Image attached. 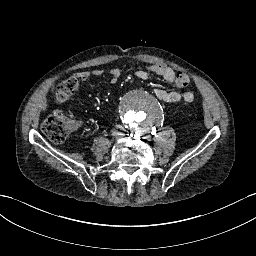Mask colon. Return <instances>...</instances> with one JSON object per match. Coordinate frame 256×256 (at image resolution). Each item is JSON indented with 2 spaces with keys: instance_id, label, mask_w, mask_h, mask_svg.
Segmentation results:
<instances>
[{
  "instance_id": "obj_1",
  "label": "colon",
  "mask_w": 256,
  "mask_h": 256,
  "mask_svg": "<svg viewBox=\"0 0 256 256\" xmlns=\"http://www.w3.org/2000/svg\"><path fill=\"white\" fill-rule=\"evenodd\" d=\"M175 80L177 86L180 88H185L191 83L190 77L184 72H178ZM79 83L80 80L76 76L70 77L61 82L55 93V103H65L69 99L70 95L77 90ZM72 128L73 124L70 120L65 118L64 113L61 111H57L53 115L49 116L42 124L43 132L53 142L64 141Z\"/></svg>"
}]
</instances>
